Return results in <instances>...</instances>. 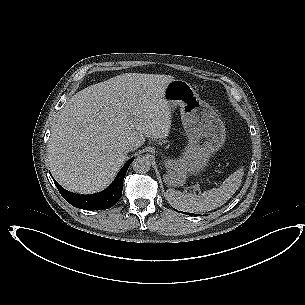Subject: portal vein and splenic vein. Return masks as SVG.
Returning a JSON list of instances; mask_svg holds the SVG:
<instances>
[{
	"label": "portal vein and splenic vein",
	"instance_id": "obj_1",
	"mask_svg": "<svg viewBox=\"0 0 305 305\" xmlns=\"http://www.w3.org/2000/svg\"><path fill=\"white\" fill-rule=\"evenodd\" d=\"M195 190L198 191V192H200V188H199L198 185H196Z\"/></svg>",
	"mask_w": 305,
	"mask_h": 305
}]
</instances>
